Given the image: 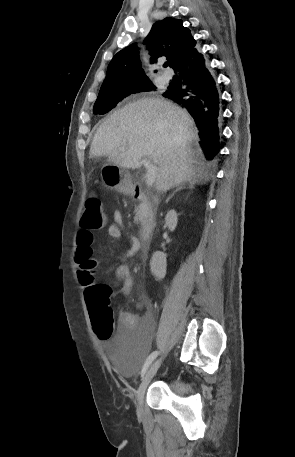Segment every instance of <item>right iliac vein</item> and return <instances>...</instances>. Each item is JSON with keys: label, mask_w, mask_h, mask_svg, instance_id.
Here are the masks:
<instances>
[{"label": "right iliac vein", "mask_w": 295, "mask_h": 457, "mask_svg": "<svg viewBox=\"0 0 295 457\" xmlns=\"http://www.w3.org/2000/svg\"><path fill=\"white\" fill-rule=\"evenodd\" d=\"M162 359L163 358L160 357L150 366L149 370L145 374V376L138 388V391H137V408H138V410L142 409L143 399H144L146 389H147L149 383L151 382V380L153 379V377L155 376L156 372L158 371V369L161 365Z\"/></svg>", "instance_id": "63e3f726"}]
</instances>
